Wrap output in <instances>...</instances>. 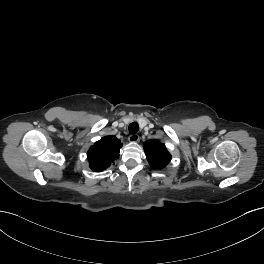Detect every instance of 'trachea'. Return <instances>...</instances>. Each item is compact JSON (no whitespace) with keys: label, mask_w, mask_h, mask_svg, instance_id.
<instances>
[{"label":"trachea","mask_w":264,"mask_h":264,"mask_svg":"<svg viewBox=\"0 0 264 264\" xmlns=\"http://www.w3.org/2000/svg\"><path fill=\"white\" fill-rule=\"evenodd\" d=\"M138 130H139V125H138V123H136V122H132V123L129 125V132H130L131 134H135V133H137Z\"/></svg>","instance_id":"3493384b"}]
</instances>
